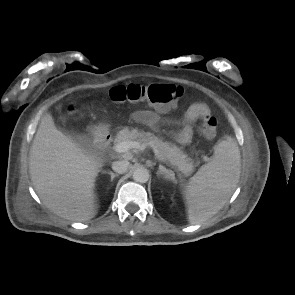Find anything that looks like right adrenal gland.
<instances>
[{
  "label": "right adrenal gland",
  "mask_w": 295,
  "mask_h": 295,
  "mask_svg": "<svg viewBox=\"0 0 295 295\" xmlns=\"http://www.w3.org/2000/svg\"><path fill=\"white\" fill-rule=\"evenodd\" d=\"M105 173H107V174H109V175L111 176V182L113 181V179H114L115 177L119 176V174H115V173H113L112 171H108V172H105Z\"/></svg>",
  "instance_id": "1"
}]
</instances>
